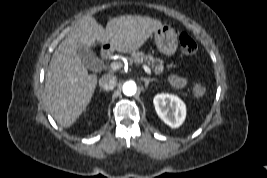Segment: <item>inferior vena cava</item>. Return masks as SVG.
<instances>
[{
    "label": "inferior vena cava",
    "instance_id": "obj_1",
    "mask_svg": "<svg viewBox=\"0 0 267 178\" xmlns=\"http://www.w3.org/2000/svg\"><path fill=\"white\" fill-rule=\"evenodd\" d=\"M117 79L113 75H105L99 80V86L105 91L113 90L116 86Z\"/></svg>",
    "mask_w": 267,
    "mask_h": 178
}]
</instances>
